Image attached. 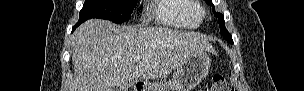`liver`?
I'll return each instance as SVG.
<instances>
[{
  "label": "liver",
  "instance_id": "1",
  "mask_svg": "<svg viewBox=\"0 0 304 91\" xmlns=\"http://www.w3.org/2000/svg\"><path fill=\"white\" fill-rule=\"evenodd\" d=\"M72 49L70 91H127L138 79L166 76L195 51L215 53L195 32L118 27L101 19L88 20L74 32ZM136 56L140 61H134Z\"/></svg>",
  "mask_w": 304,
  "mask_h": 91
}]
</instances>
